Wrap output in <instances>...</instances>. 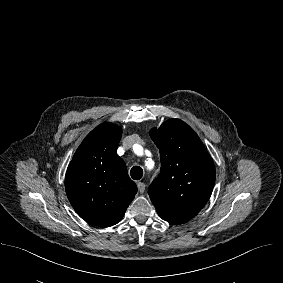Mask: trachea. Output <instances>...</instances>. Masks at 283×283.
<instances>
[{
	"label": "trachea",
	"mask_w": 283,
	"mask_h": 283,
	"mask_svg": "<svg viewBox=\"0 0 283 283\" xmlns=\"http://www.w3.org/2000/svg\"><path fill=\"white\" fill-rule=\"evenodd\" d=\"M130 175L132 177V179L134 180H140L143 176V170L141 167L139 166H134L131 170H130Z\"/></svg>",
	"instance_id": "obj_1"
}]
</instances>
